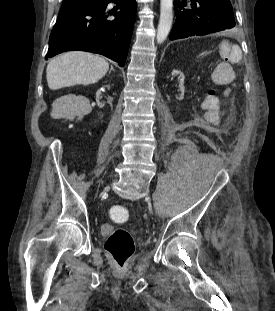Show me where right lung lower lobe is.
<instances>
[{
    "label": "right lung lower lobe",
    "instance_id": "obj_1",
    "mask_svg": "<svg viewBox=\"0 0 275 311\" xmlns=\"http://www.w3.org/2000/svg\"><path fill=\"white\" fill-rule=\"evenodd\" d=\"M117 2L119 11L108 12ZM135 0H96L62 9L50 34L45 59L65 51L102 54L123 67L134 28Z\"/></svg>",
    "mask_w": 275,
    "mask_h": 311
}]
</instances>
